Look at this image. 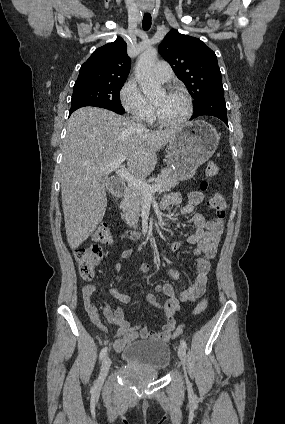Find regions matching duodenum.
<instances>
[{
	"mask_svg": "<svg viewBox=\"0 0 285 424\" xmlns=\"http://www.w3.org/2000/svg\"><path fill=\"white\" fill-rule=\"evenodd\" d=\"M110 188L115 193H121L125 190V183L119 177H114L110 181Z\"/></svg>",
	"mask_w": 285,
	"mask_h": 424,
	"instance_id": "duodenum-1",
	"label": "duodenum"
}]
</instances>
